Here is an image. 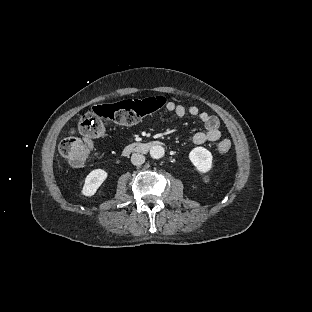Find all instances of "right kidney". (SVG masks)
Returning <instances> with one entry per match:
<instances>
[{
	"label": "right kidney",
	"instance_id": "ca27d5eb",
	"mask_svg": "<svg viewBox=\"0 0 312 312\" xmlns=\"http://www.w3.org/2000/svg\"><path fill=\"white\" fill-rule=\"evenodd\" d=\"M108 172L104 169H94L85 178L84 185L81 189V194L84 197L94 196L103 182L107 179Z\"/></svg>",
	"mask_w": 312,
	"mask_h": 312
}]
</instances>
